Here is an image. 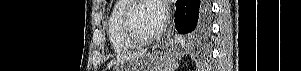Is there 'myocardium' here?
Masks as SVG:
<instances>
[{
    "instance_id": "1",
    "label": "myocardium",
    "mask_w": 301,
    "mask_h": 71,
    "mask_svg": "<svg viewBox=\"0 0 301 71\" xmlns=\"http://www.w3.org/2000/svg\"><path fill=\"white\" fill-rule=\"evenodd\" d=\"M144 1H150L156 3L157 1H151V0H130L125 7L122 16H121V31L123 36L130 41L131 43L135 45H147L156 42L159 40L163 33L165 24L162 25V27L153 35L143 37L140 36L134 29L132 25V12L133 10L138 6V4L144 2Z\"/></svg>"
}]
</instances>
